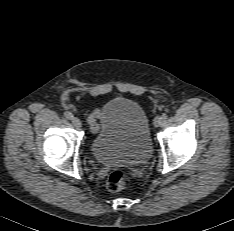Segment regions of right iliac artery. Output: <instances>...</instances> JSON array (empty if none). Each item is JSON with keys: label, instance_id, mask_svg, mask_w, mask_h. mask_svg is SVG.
<instances>
[{"label": "right iliac artery", "instance_id": "obj_1", "mask_svg": "<svg viewBox=\"0 0 234 231\" xmlns=\"http://www.w3.org/2000/svg\"><path fill=\"white\" fill-rule=\"evenodd\" d=\"M64 116H65L67 119H72V118H73L72 113L69 112V111L64 112Z\"/></svg>", "mask_w": 234, "mask_h": 231}]
</instances>
